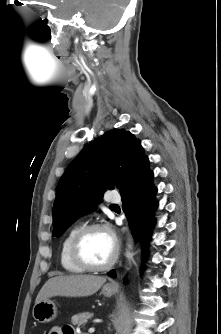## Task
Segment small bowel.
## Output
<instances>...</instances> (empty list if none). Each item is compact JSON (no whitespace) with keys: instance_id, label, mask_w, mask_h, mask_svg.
Returning a JSON list of instances; mask_svg holds the SVG:
<instances>
[{"instance_id":"small-bowel-1","label":"small bowel","mask_w":221,"mask_h":334,"mask_svg":"<svg viewBox=\"0 0 221 334\" xmlns=\"http://www.w3.org/2000/svg\"><path fill=\"white\" fill-rule=\"evenodd\" d=\"M49 334H75V333L70 328H61L58 326H54L51 328Z\"/></svg>"}]
</instances>
